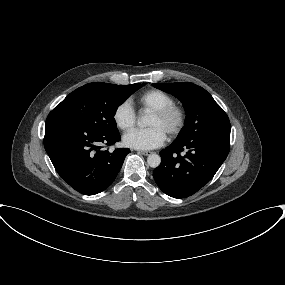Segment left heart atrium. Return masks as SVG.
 <instances>
[{"instance_id": "obj_1", "label": "left heart atrium", "mask_w": 285, "mask_h": 285, "mask_svg": "<svg viewBox=\"0 0 285 285\" xmlns=\"http://www.w3.org/2000/svg\"><path fill=\"white\" fill-rule=\"evenodd\" d=\"M166 140V133L159 127L133 129L123 136V143L134 149L150 150L161 146Z\"/></svg>"}]
</instances>
